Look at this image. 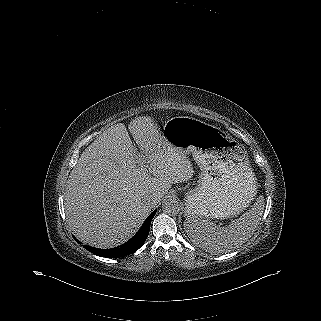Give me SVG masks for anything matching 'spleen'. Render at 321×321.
Returning a JSON list of instances; mask_svg holds the SVG:
<instances>
[{
	"instance_id": "obj_1",
	"label": "spleen",
	"mask_w": 321,
	"mask_h": 321,
	"mask_svg": "<svg viewBox=\"0 0 321 321\" xmlns=\"http://www.w3.org/2000/svg\"><path fill=\"white\" fill-rule=\"evenodd\" d=\"M264 197L227 226L218 227L208 219L187 217L184 229L189 238L210 253L223 254L243 245L255 232L264 212Z\"/></svg>"
}]
</instances>
